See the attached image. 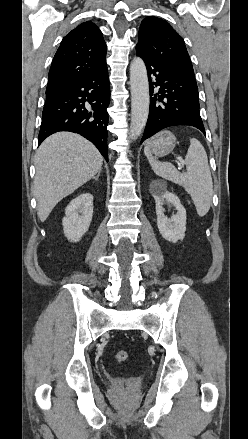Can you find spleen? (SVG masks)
Returning a JSON list of instances; mask_svg holds the SVG:
<instances>
[{"mask_svg":"<svg viewBox=\"0 0 248 439\" xmlns=\"http://www.w3.org/2000/svg\"><path fill=\"white\" fill-rule=\"evenodd\" d=\"M144 152L154 173L184 187L194 202L197 214L200 217L205 216L211 206L213 183L207 154L202 144L195 138L190 139V147L185 158L187 167L185 173L177 171L171 163L155 160L148 146L145 147Z\"/></svg>","mask_w":248,"mask_h":439,"instance_id":"spleen-1","label":"spleen"}]
</instances>
